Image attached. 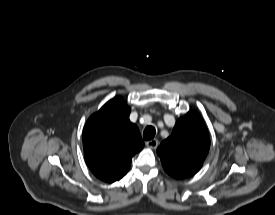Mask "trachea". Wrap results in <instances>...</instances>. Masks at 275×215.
Segmentation results:
<instances>
[{"mask_svg":"<svg viewBox=\"0 0 275 215\" xmlns=\"http://www.w3.org/2000/svg\"><path fill=\"white\" fill-rule=\"evenodd\" d=\"M156 130L153 126H148L145 128L144 132H143V138L146 141L152 140L155 136Z\"/></svg>","mask_w":275,"mask_h":215,"instance_id":"obj_1","label":"trachea"}]
</instances>
